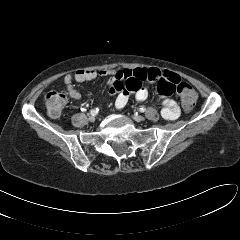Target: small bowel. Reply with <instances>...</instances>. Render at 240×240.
I'll return each instance as SVG.
<instances>
[{
	"mask_svg": "<svg viewBox=\"0 0 240 240\" xmlns=\"http://www.w3.org/2000/svg\"><path fill=\"white\" fill-rule=\"evenodd\" d=\"M100 75H109L107 83L108 90L116 95L115 107L122 109L129 101L131 93L135 94L137 102L142 103L148 97V90L144 82L157 83L160 95L161 115L166 120H175L180 115V109L170 95L175 91L177 85L182 81L180 76L158 68H136L123 69L119 71L101 70ZM98 73L95 70H77L64 76L63 82L69 96L75 100L81 99V94L73 85V81L85 82L94 80Z\"/></svg>",
	"mask_w": 240,
	"mask_h": 240,
	"instance_id": "1",
	"label": "small bowel"
}]
</instances>
